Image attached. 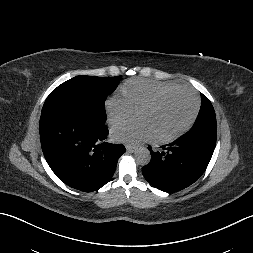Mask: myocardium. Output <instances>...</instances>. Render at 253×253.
Listing matches in <instances>:
<instances>
[{
  "instance_id": "f54148a6",
  "label": "myocardium",
  "mask_w": 253,
  "mask_h": 253,
  "mask_svg": "<svg viewBox=\"0 0 253 253\" xmlns=\"http://www.w3.org/2000/svg\"><path fill=\"white\" fill-rule=\"evenodd\" d=\"M181 91L189 93L193 97L194 102H195L194 111H193L190 119L186 122V124H184L181 128H179L174 133H172L168 136H164V137H154L153 138L154 142L159 143V144L169 143L171 141H174L175 139L180 137L182 134H184L188 129H190V127L195 122V120L198 116V113H199V109H200V100H199L197 94L192 89H190L188 87L176 86L174 88L167 89V90H164V91L158 93L150 101H148L146 104L141 106L139 108V110L137 111L139 113L141 111L151 109L154 106H156L163 98L167 97L170 94H173L176 92H181Z\"/></svg>"
}]
</instances>
